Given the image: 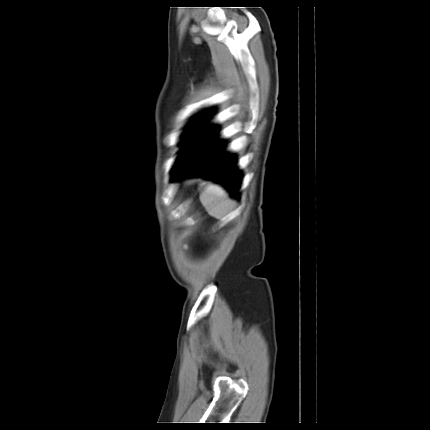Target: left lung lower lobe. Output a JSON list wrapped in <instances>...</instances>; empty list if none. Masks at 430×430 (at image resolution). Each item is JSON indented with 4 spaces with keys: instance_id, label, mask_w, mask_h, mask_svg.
I'll return each instance as SVG.
<instances>
[{
    "instance_id": "left-lung-lower-lobe-1",
    "label": "left lung lower lobe",
    "mask_w": 430,
    "mask_h": 430,
    "mask_svg": "<svg viewBox=\"0 0 430 430\" xmlns=\"http://www.w3.org/2000/svg\"><path fill=\"white\" fill-rule=\"evenodd\" d=\"M215 137L214 127L196 130L183 148L172 179L186 175L206 176L223 183L231 195L239 196L241 176L235 167V156L225 153L224 142L214 140Z\"/></svg>"
}]
</instances>
